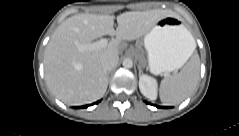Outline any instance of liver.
Segmentation results:
<instances>
[{
  "label": "liver",
  "instance_id": "1",
  "mask_svg": "<svg viewBox=\"0 0 239 136\" xmlns=\"http://www.w3.org/2000/svg\"><path fill=\"white\" fill-rule=\"evenodd\" d=\"M171 10L124 12L112 15L78 14L67 18L54 31L44 54L45 80L50 91L67 105H83L100 99L107 90L108 74L101 59L119 55L122 40H136L146 35ZM104 35L116 36L99 50L80 51Z\"/></svg>",
  "mask_w": 239,
  "mask_h": 136
}]
</instances>
